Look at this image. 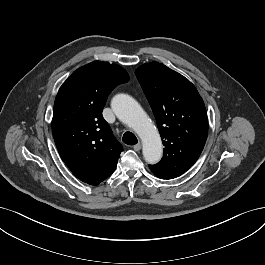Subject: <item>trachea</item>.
<instances>
[{"label": "trachea", "mask_w": 265, "mask_h": 265, "mask_svg": "<svg viewBox=\"0 0 265 265\" xmlns=\"http://www.w3.org/2000/svg\"><path fill=\"white\" fill-rule=\"evenodd\" d=\"M123 142L127 145H135L138 140L132 132H125L123 135Z\"/></svg>", "instance_id": "3493384b"}]
</instances>
